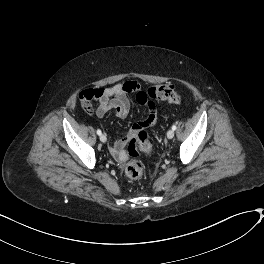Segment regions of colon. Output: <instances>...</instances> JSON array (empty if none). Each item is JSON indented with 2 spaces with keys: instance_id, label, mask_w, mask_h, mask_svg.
<instances>
[{
  "instance_id": "1",
  "label": "colon",
  "mask_w": 264,
  "mask_h": 264,
  "mask_svg": "<svg viewBox=\"0 0 264 264\" xmlns=\"http://www.w3.org/2000/svg\"><path fill=\"white\" fill-rule=\"evenodd\" d=\"M189 95V92H186ZM93 99V92L86 91L81 96L82 106L86 111H91V100ZM183 99V94L178 92L174 87L170 85H156L145 91H140L136 95V101L140 104L152 106L157 100H166L171 103H178ZM139 129L137 136L131 140L128 146V153L132 156L137 155L138 149L143 153L150 155L153 152V145L148 135L140 130V124L137 123ZM144 174L143 164L135 160L128 164L125 169V175L131 180L140 179Z\"/></svg>"
}]
</instances>
